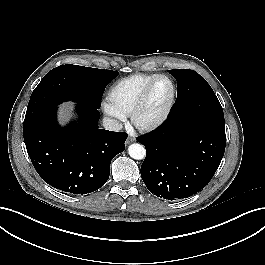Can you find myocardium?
I'll return each mask as SVG.
<instances>
[{
    "instance_id": "1",
    "label": "myocardium",
    "mask_w": 265,
    "mask_h": 265,
    "mask_svg": "<svg viewBox=\"0 0 265 265\" xmlns=\"http://www.w3.org/2000/svg\"><path fill=\"white\" fill-rule=\"evenodd\" d=\"M160 79H167L170 82L172 89L170 99L165 109L159 116L151 120H144L142 118L143 111L148 103V100L150 98L151 92L155 84ZM176 95H177V89L174 80L166 74L156 75L151 80V82L145 87V89L143 90L142 94L140 95L138 101L136 102L135 106L133 107L130 113V120L133 127L141 132H151L162 126L169 118L173 110L176 101Z\"/></svg>"
}]
</instances>
